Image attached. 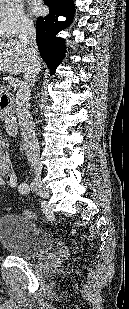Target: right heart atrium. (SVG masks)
I'll use <instances>...</instances> for the list:
<instances>
[{
	"instance_id": "1",
	"label": "right heart atrium",
	"mask_w": 129,
	"mask_h": 309,
	"mask_svg": "<svg viewBox=\"0 0 129 309\" xmlns=\"http://www.w3.org/2000/svg\"><path fill=\"white\" fill-rule=\"evenodd\" d=\"M32 29V23L27 16L20 0H0V36L15 38Z\"/></svg>"
}]
</instances>
